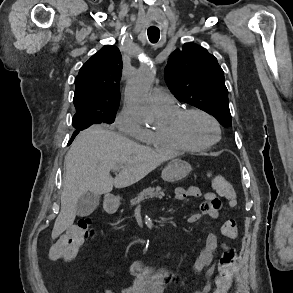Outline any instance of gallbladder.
I'll return each instance as SVG.
<instances>
[{
  "label": "gallbladder",
  "instance_id": "1",
  "mask_svg": "<svg viewBox=\"0 0 293 293\" xmlns=\"http://www.w3.org/2000/svg\"><path fill=\"white\" fill-rule=\"evenodd\" d=\"M100 196L91 192L83 194L76 205V213L80 217L90 215L99 205Z\"/></svg>",
  "mask_w": 293,
  "mask_h": 293
}]
</instances>
